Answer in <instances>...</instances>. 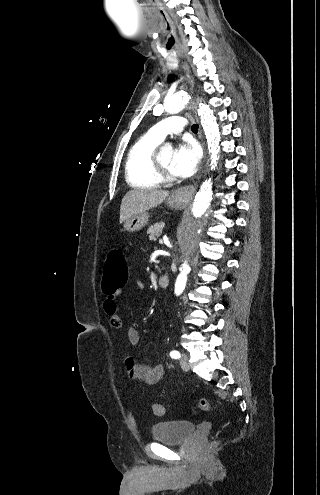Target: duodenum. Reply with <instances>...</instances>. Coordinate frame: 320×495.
<instances>
[{
    "mask_svg": "<svg viewBox=\"0 0 320 495\" xmlns=\"http://www.w3.org/2000/svg\"><path fill=\"white\" fill-rule=\"evenodd\" d=\"M170 283V278L168 275H161L158 279V285L161 288H167Z\"/></svg>",
    "mask_w": 320,
    "mask_h": 495,
    "instance_id": "1",
    "label": "duodenum"
}]
</instances>
